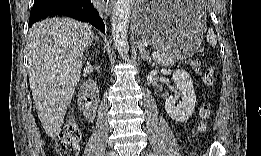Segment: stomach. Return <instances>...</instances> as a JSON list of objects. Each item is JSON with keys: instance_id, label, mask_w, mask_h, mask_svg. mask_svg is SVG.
Listing matches in <instances>:
<instances>
[{"instance_id": "stomach-1", "label": "stomach", "mask_w": 261, "mask_h": 156, "mask_svg": "<svg viewBox=\"0 0 261 156\" xmlns=\"http://www.w3.org/2000/svg\"><path fill=\"white\" fill-rule=\"evenodd\" d=\"M133 15L137 35L177 59L191 57L201 44L206 15L198 2H140Z\"/></svg>"}]
</instances>
